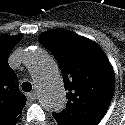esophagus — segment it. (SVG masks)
<instances>
[{
    "label": "esophagus",
    "instance_id": "1",
    "mask_svg": "<svg viewBox=\"0 0 125 125\" xmlns=\"http://www.w3.org/2000/svg\"><path fill=\"white\" fill-rule=\"evenodd\" d=\"M36 97H37L36 92H31V93H28V94H27V98H28L29 100H31V101L35 100Z\"/></svg>",
    "mask_w": 125,
    "mask_h": 125
}]
</instances>
